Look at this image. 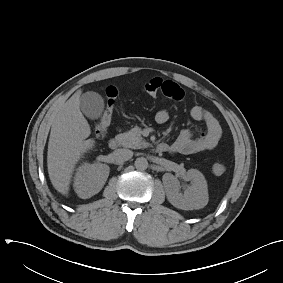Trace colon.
Masks as SVG:
<instances>
[{
	"label": "colon",
	"mask_w": 283,
	"mask_h": 283,
	"mask_svg": "<svg viewBox=\"0 0 283 283\" xmlns=\"http://www.w3.org/2000/svg\"><path fill=\"white\" fill-rule=\"evenodd\" d=\"M163 80L153 78L144 84V90L147 94L155 96L161 92ZM117 98V89L114 86H109L106 89V106L101 117L96 121L94 132L98 137L105 134L111 120L112 111ZM212 171L216 175H221L226 171V165L223 162H216L212 166Z\"/></svg>",
	"instance_id": "5ec220e1"
}]
</instances>
